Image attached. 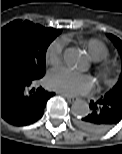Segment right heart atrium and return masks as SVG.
<instances>
[{"label": "right heart atrium", "instance_id": "d8ad5b80", "mask_svg": "<svg viewBox=\"0 0 122 154\" xmlns=\"http://www.w3.org/2000/svg\"><path fill=\"white\" fill-rule=\"evenodd\" d=\"M64 41L61 39L54 40L46 52V62L51 66H59L64 54Z\"/></svg>", "mask_w": 122, "mask_h": 154}]
</instances>
